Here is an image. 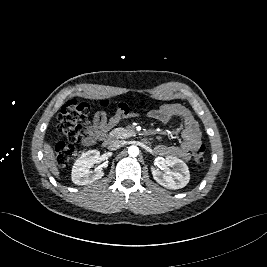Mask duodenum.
<instances>
[{"label": "duodenum", "mask_w": 267, "mask_h": 267, "mask_svg": "<svg viewBox=\"0 0 267 267\" xmlns=\"http://www.w3.org/2000/svg\"><path fill=\"white\" fill-rule=\"evenodd\" d=\"M112 141H113V138L110 137V136H107V137L104 138L102 144H103V146H107V145H109L110 143H112ZM143 142H144L145 144H147V143H148V139L145 138V139L143 140Z\"/></svg>", "instance_id": "410a0bca"}]
</instances>
